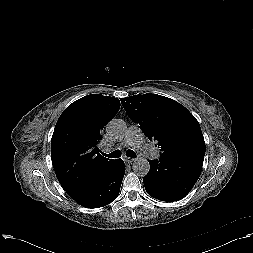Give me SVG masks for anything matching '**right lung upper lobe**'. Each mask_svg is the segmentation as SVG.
I'll use <instances>...</instances> for the list:
<instances>
[{"mask_svg": "<svg viewBox=\"0 0 253 253\" xmlns=\"http://www.w3.org/2000/svg\"><path fill=\"white\" fill-rule=\"evenodd\" d=\"M120 108L118 98L91 94L69 105L51 140L56 176L67 193L105 172L115 160L99 153L101 131Z\"/></svg>", "mask_w": 253, "mask_h": 253, "instance_id": "cb5924a9", "label": "right lung upper lobe"}]
</instances>
